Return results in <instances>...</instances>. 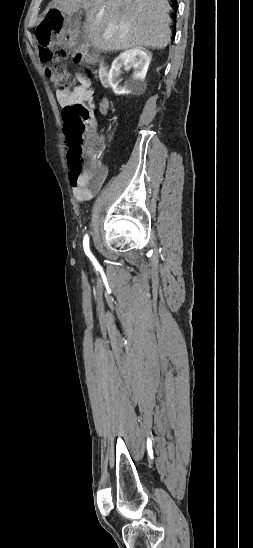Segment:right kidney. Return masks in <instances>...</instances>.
<instances>
[{
	"label": "right kidney",
	"mask_w": 253,
	"mask_h": 548,
	"mask_svg": "<svg viewBox=\"0 0 253 548\" xmlns=\"http://www.w3.org/2000/svg\"><path fill=\"white\" fill-rule=\"evenodd\" d=\"M152 58L151 52L143 47L129 49L117 56L109 71L108 81L116 95L141 93L146 89L144 79ZM122 67H133L135 69L131 79L124 85H120V73Z\"/></svg>",
	"instance_id": "right-kidney-1"
}]
</instances>
